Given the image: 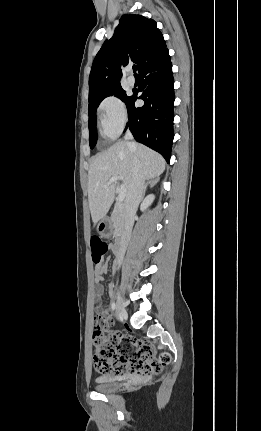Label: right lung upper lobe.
Segmentation results:
<instances>
[{
    "instance_id": "1",
    "label": "right lung upper lobe",
    "mask_w": 261,
    "mask_h": 431,
    "mask_svg": "<svg viewBox=\"0 0 261 431\" xmlns=\"http://www.w3.org/2000/svg\"><path fill=\"white\" fill-rule=\"evenodd\" d=\"M152 19L129 14L120 18L113 37L97 53L89 76V97L120 85L121 66L130 61L138 71L158 56L166 43Z\"/></svg>"
}]
</instances>
